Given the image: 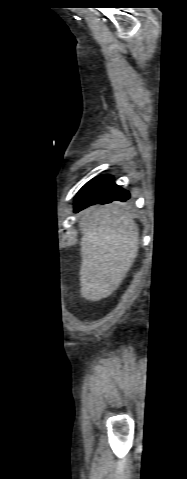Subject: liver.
I'll list each match as a JSON object with an SVG mask.
<instances>
[{"instance_id":"6515ba94","label":"liver","mask_w":187,"mask_h":479,"mask_svg":"<svg viewBox=\"0 0 187 479\" xmlns=\"http://www.w3.org/2000/svg\"><path fill=\"white\" fill-rule=\"evenodd\" d=\"M81 295L98 301L120 286L139 249L138 226L119 203L93 206L79 220Z\"/></svg>"}]
</instances>
